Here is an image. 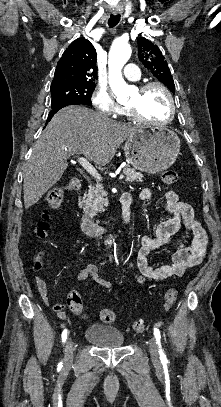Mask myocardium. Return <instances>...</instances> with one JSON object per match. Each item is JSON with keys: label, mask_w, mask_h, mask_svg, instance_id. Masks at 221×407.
<instances>
[{"label": "myocardium", "mask_w": 221, "mask_h": 407, "mask_svg": "<svg viewBox=\"0 0 221 407\" xmlns=\"http://www.w3.org/2000/svg\"><path fill=\"white\" fill-rule=\"evenodd\" d=\"M152 88H158V89L162 90L168 99L169 115L165 120H163V121L148 120L141 115L137 106H126L125 110L127 111L128 115L130 117H132L134 120H136L140 123L148 124V125H167L174 119V116L176 113V105H175L173 95H172L171 91L165 85H163L159 82L145 83L138 88V92L140 95H144Z\"/></svg>", "instance_id": "f54148a6"}]
</instances>
